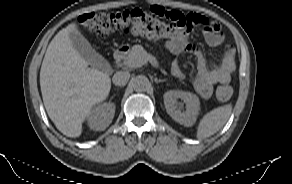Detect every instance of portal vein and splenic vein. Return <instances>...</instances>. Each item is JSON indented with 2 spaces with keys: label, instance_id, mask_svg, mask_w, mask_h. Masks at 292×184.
Listing matches in <instances>:
<instances>
[{
  "label": "portal vein and splenic vein",
  "instance_id": "portal-vein-and-splenic-vein-1",
  "mask_svg": "<svg viewBox=\"0 0 292 184\" xmlns=\"http://www.w3.org/2000/svg\"><path fill=\"white\" fill-rule=\"evenodd\" d=\"M147 62L152 63L155 67L159 66L155 57H153L152 55L146 54L143 58L140 59V61L136 64L135 67H140Z\"/></svg>",
  "mask_w": 292,
  "mask_h": 184
}]
</instances>
